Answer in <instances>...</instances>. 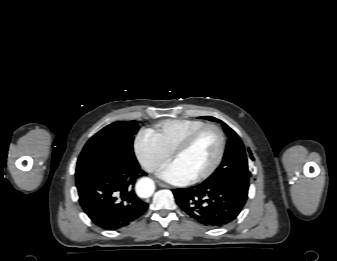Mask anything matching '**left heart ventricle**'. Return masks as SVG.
<instances>
[{"label": "left heart ventricle", "instance_id": "1", "mask_svg": "<svg viewBox=\"0 0 337 261\" xmlns=\"http://www.w3.org/2000/svg\"><path fill=\"white\" fill-rule=\"evenodd\" d=\"M219 135L214 130L201 133L192 145L178 155L176 161L192 178L207 170L218 154Z\"/></svg>", "mask_w": 337, "mask_h": 261}]
</instances>
